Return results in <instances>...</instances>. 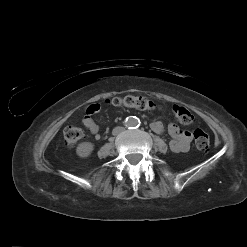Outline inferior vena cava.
<instances>
[{"instance_id":"602c4592","label":"inferior vena cava","mask_w":247,"mask_h":247,"mask_svg":"<svg viewBox=\"0 0 247 247\" xmlns=\"http://www.w3.org/2000/svg\"><path fill=\"white\" fill-rule=\"evenodd\" d=\"M124 130V128L123 127H115L114 129H113V135H117V134H119L120 132H122Z\"/></svg>"}]
</instances>
